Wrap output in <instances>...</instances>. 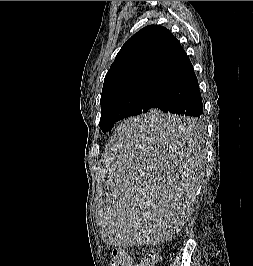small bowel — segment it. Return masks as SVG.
I'll return each instance as SVG.
<instances>
[{
  "label": "small bowel",
  "mask_w": 253,
  "mask_h": 266,
  "mask_svg": "<svg viewBox=\"0 0 253 266\" xmlns=\"http://www.w3.org/2000/svg\"><path fill=\"white\" fill-rule=\"evenodd\" d=\"M130 266H138V265H134V264L130 263Z\"/></svg>",
  "instance_id": "c3829d8e"
}]
</instances>
